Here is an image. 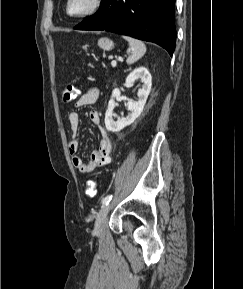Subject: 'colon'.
<instances>
[{"label": "colon", "instance_id": "obj_1", "mask_svg": "<svg viewBox=\"0 0 243 289\" xmlns=\"http://www.w3.org/2000/svg\"><path fill=\"white\" fill-rule=\"evenodd\" d=\"M79 94L78 89L73 84H68L64 87L62 92V100L64 103L72 102ZM97 192L96 183L93 180H89L86 184L85 193L88 197H94Z\"/></svg>", "mask_w": 243, "mask_h": 289}]
</instances>
